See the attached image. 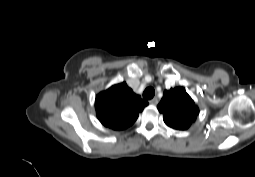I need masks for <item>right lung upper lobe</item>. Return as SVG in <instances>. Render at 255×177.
<instances>
[{
    "label": "right lung upper lobe",
    "mask_w": 255,
    "mask_h": 177,
    "mask_svg": "<svg viewBox=\"0 0 255 177\" xmlns=\"http://www.w3.org/2000/svg\"><path fill=\"white\" fill-rule=\"evenodd\" d=\"M147 105L148 102L136 95L126 82L100 92L95 99L97 118L105 127L113 130L131 126Z\"/></svg>",
    "instance_id": "1"
}]
</instances>
